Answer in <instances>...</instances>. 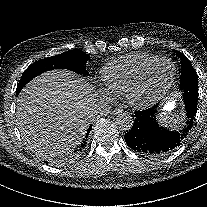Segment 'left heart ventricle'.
<instances>
[{
	"label": "left heart ventricle",
	"instance_id": "obj_1",
	"mask_svg": "<svg viewBox=\"0 0 207 207\" xmlns=\"http://www.w3.org/2000/svg\"><path fill=\"white\" fill-rule=\"evenodd\" d=\"M173 74V66L169 62L159 64L148 77V96H158L167 86Z\"/></svg>",
	"mask_w": 207,
	"mask_h": 207
}]
</instances>
